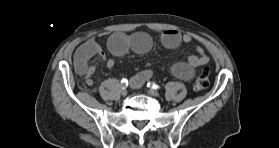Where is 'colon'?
Wrapping results in <instances>:
<instances>
[{
    "label": "colon",
    "mask_w": 279,
    "mask_h": 148,
    "mask_svg": "<svg viewBox=\"0 0 279 148\" xmlns=\"http://www.w3.org/2000/svg\"><path fill=\"white\" fill-rule=\"evenodd\" d=\"M91 84L87 81H81L80 86L82 88H86L90 86ZM209 85V69L207 67L201 68L195 78L194 81V89L197 91L204 90Z\"/></svg>",
    "instance_id": "5ec220e1"
}]
</instances>
